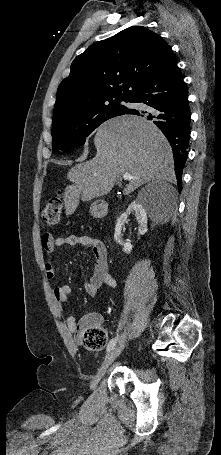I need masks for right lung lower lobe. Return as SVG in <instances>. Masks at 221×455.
I'll return each instance as SVG.
<instances>
[{"mask_svg": "<svg viewBox=\"0 0 221 455\" xmlns=\"http://www.w3.org/2000/svg\"><path fill=\"white\" fill-rule=\"evenodd\" d=\"M183 78L175 55L172 50L168 51L130 98V102L145 107L129 108L125 113L145 116L162 130L173 150L179 191L188 155L191 120L188 90Z\"/></svg>", "mask_w": 221, "mask_h": 455, "instance_id": "98d812e1", "label": "right lung lower lobe"}]
</instances>
